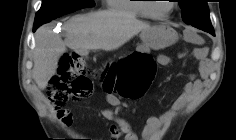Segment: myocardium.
I'll list each match as a JSON object with an SVG mask.
<instances>
[{"label":"myocardium","instance_id":"1","mask_svg":"<svg viewBox=\"0 0 236 140\" xmlns=\"http://www.w3.org/2000/svg\"><path fill=\"white\" fill-rule=\"evenodd\" d=\"M146 1H150V0H146ZM169 1H173V0H169ZM170 6H171L170 9L166 13L158 14V13L154 12L151 4H148V3L145 4V8H146L148 15L152 18L159 19V20L166 19L173 13V11L176 8L174 2H171Z\"/></svg>","mask_w":236,"mask_h":140}]
</instances>
